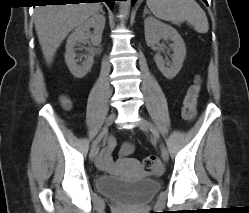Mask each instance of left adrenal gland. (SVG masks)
Listing matches in <instances>:
<instances>
[{
    "mask_svg": "<svg viewBox=\"0 0 249 213\" xmlns=\"http://www.w3.org/2000/svg\"><path fill=\"white\" fill-rule=\"evenodd\" d=\"M150 13L147 9V7L144 8V13H143V17H145L146 14Z\"/></svg>",
    "mask_w": 249,
    "mask_h": 213,
    "instance_id": "obj_1",
    "label": "left adrenal gland"
}]
</instances>
